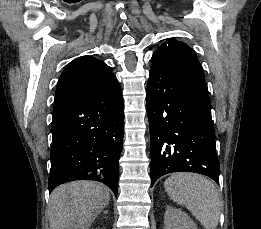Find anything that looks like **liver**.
Here are the masks:
<instances>
[{"label":"liver","instance_id":"liver-1","mask_svg":"<svg viewBox=\"0 0 261 229\" xmlns=\"http://www.w3.org/2000/svg\"><path fill=\"white\" fill-rule=\"evenodd\" d=\"M109 189L96 181H73L52 191L47 217L50 229H89L109 205Z\"/></svg>","mask_w":261,"mask_h":229}]
</instances>
